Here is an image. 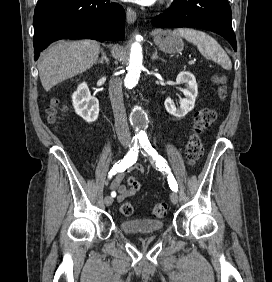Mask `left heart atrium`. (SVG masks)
Segmentation results:
<instances>
[{
    "label": "left heart atrium",
    "instance_id": "39dd6f15",
    "mask_svg": "<svg viewBox=\"0 0 272 282\" xmlns=\"http://www.w3.org/2000/svg\"><path fill=\"white\" fill-rule=\"evenodd\" d=\"M126 1H132L138 4H142V5H150L152 4L155 0H126Z\"/></svg>",
    "mask_w": 272,
    "mask_h": 282
}]
</instances>
